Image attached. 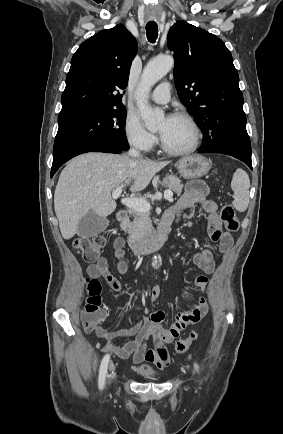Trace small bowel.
I'll use <instances>...</instances> for the list:
<instances>
[{"label": "small bowel", "instance_id": "1", "mask_svg": "<svg viewBox=\"0 0 283 434\" xmlns=\"http://www.w3.org/2000/svg\"><path fill=\"white\" fill-rule=\"evenodd\" d=\"M195 205H200L206 213L204 227L211 241L222 252L229 250L233 243L232 235L222 230L218 206L214 201L208 199V188L203 182L193 181L188 183L183 195L174 206L166 211L163 220L170 222V224L175 223L186 210ZM124 246L125 241L122 237H117L114 240V256L118 260L117 271L122 275L128 271V265L124 260ZM193 261L206 274H211L214 271V255L210 249L196 253ZM87 273L91 278H103L107 285L115 291L122 289L120 281L109 271L108 261L105 257H100L96 263L89 265ZM207 284L208 279L205 276H198L195 279V285L202 292H205ZM159 295L160 289L155 287L151 294V300L155 301ZM208 310L209 307L205 298L200 297L198 302L189 309L177 313L174 322L169 327L163 325L164 312L157 311L149 314L142 322L130 328L107 331L104 327L99 326L92 332L98 338L107 340L104 347L105 351L113 352L120 359L132 357L136 365V371L148 367L143 364L144 362L152 363L163 369L170 362V355L166 345L173 341L187 325L199 322L207 314ZM149 337L155 339V348H147L146 341ZM116 338H127L128 340L116 346L111 343V340Z\"/></svg>", "mask_w": 283, "mask_h": 434}]
</instances>
